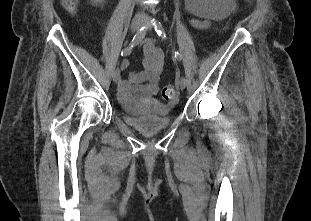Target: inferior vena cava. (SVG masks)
Returning a JSON list of instances; mask_svg holds the SVG:
<instances>
[{
  "mask_svg": "<svg viewBox=\"0 0 311 221\" xmlns=\"http://www.w3.org/2000/svg\"><path fill=\"white\" fill-rule=\"evenodd\" d=\"M143 12H138L137 16H142Z\"/></svg>",
  "mask_w": 311,
  "mask_h": 221,
  "instance_id": "602c4592",
  "label": "inferior vena cava"
}]
</instances>
